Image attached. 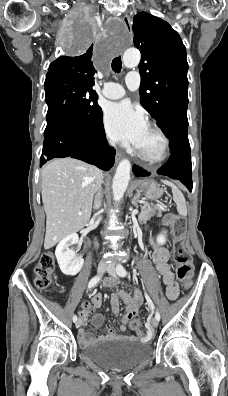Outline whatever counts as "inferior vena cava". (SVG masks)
<instances>
[{
  "label": "inferior vena cava",
  "instance_id": "obj_1",
  "mask_svg": "<svg viewBox=\"0 0 228 396\" xmlns=\"http://www.w3.org/2000/svg\"><path fill=\"white\" fill-rule=\"evenodd\" d=\"M113 146L115 145L114 142L111 143ZM101 205V195L100 193H98L95 197V201H94V209H98Z\"/></svg>",
  "mask_w": 228,
  "mask_h": 396
}]
</instances>
